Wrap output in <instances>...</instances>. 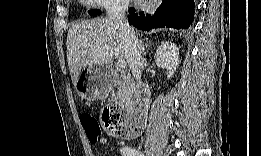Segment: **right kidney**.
<instances>
[{
    "label": "right kidney",
    "instance_id": "ca27d5eb",
    "mask_svg": "<svg viewBox=\"0 0 261 156\" xmlns=\"http://www.w3.org/2000/svg\"><path fill=\"white\" fill-rule=\"evenodd\" d=\"M155 62L158 67L166 69L167 78L173 77L180 61L179 49L177 46L169 41H165L158 46L155 53Z\"/></svg>",
    "mask_w": 261,
    "mask_h": 156
}]
</instances>
